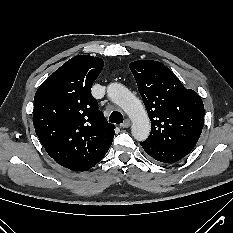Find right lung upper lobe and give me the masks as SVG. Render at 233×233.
<instances>
[{"label":"right lung upper lobe","mask_w":233,"mask_h":233,"mask_svg":"<svg viewBox=\"0 0 233 233\" xmlns=\"http://www.w3.org/2000/svg\"><path fill=\"white\" fill-rule=\"evenodd\" d=\"M98 57L78 55L58 68L38 88L33 124L51 158L75 171H85L101 161L115 134L91 95L102 71Z\"/></svg>","instance_id":"right-lung-upper-lobe-1"}]
</instances>
